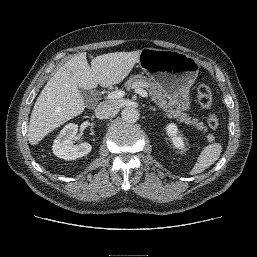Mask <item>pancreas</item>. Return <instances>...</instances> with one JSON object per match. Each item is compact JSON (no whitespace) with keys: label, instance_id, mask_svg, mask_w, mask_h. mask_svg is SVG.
Listing matches in <instances>:
<instances>
[{"label":"pancreas","instance_id":"1","mask_svg":"<svg viewBox=\"0 0 257 257\" xmlns=\"http://www.w3.org/2000/svg\"><path fill=\"white\" fill-rule=\"evenodd\" d=\"M127 90L136 89L138 87L146 88L152 98V100L158 105L159 108L165 111V114L169 118H175L186 125H193L197 130L206 131V127L202 122H198L197 119H191V117L178 109H174L171 102L166 99V95L162 92L160 86L150 78L141 74L131 76L125 83Z\"/></svg>","mask_w":257,"mask_h":257}]
</instances>
